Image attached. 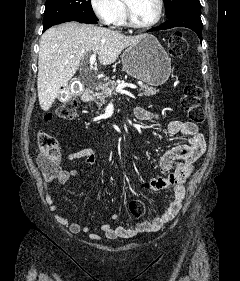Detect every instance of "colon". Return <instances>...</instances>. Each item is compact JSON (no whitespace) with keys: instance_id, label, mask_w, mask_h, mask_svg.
Here are the masks:
<instances>
[{"instance_id":"colon-1","label":"colon","mask_w":240,"mask_h":281,"mask_svg":"<svg viewBox=\"0 0 240 281\" xmlns=\"http://www.w3.org/2000/svg\"><path fill=\"white\" fill-rule=\"evenodd\" d=\"M168 50L172 56H182L187 50V43L179 32L172 34L168 43ZM202 91L199 86L189 84L185 86L181 98V106L187 112L189 119L197 124L205 121V112L201 106ZM77 105L72 99L59 104L55 110L58 118L72 120L76 116ZM37 144L40 152L38 164L45 175H54L59 168L60 147L54 136L46 131H39ZM129 210L136 218H141L146 211L145 204L139 199L129 202Z\"/></svg>"}]
</instances>
